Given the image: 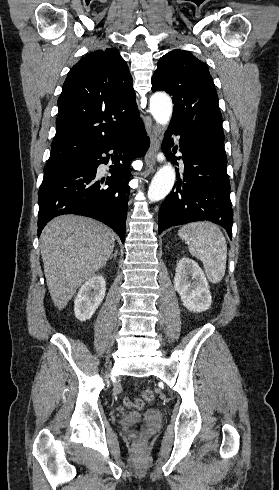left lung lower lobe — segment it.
Segmentation results:
<instances>
[{"label":"left lung lower lobe","mask_w":279,"mask_h":490,"mask_svg":"<svg viewBox=\"0 0 279 490\" xmlns=\"http://www.w3.org/2000/svg\"><path fill=\"white\" fill-rule=\"evenodd\" d=\"M173 133L180 135L184 177L179 178L177 169L178 182L159 211V234L172 226L207 220L225 228L232 239L233 210L223 143L170 123L163 142L166 152Z\"/></svg>","instance_id":"obj_1"}]
</instances>
